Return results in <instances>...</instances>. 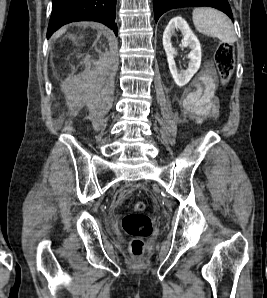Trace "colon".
Listing matches in <instances>:
<instances>
[{"label":"colon","instance_id":"colon-1","mask_svg":"<svg viewBox=\"0 0 267 298\" xmlns=\"http://www.w3.org/2000/svg\"><path fill=\"white\" fill-rule=\"evenodd\" d=\"M217 71L223 84L228 83L234 70V47L229 43L219 44L215 53ZM145 204L135 202L132 211L122 219L123 230L132 237L130 252L135 257H140L144 252V240L152 234L153 226L150 217L144 214Z\"/></svg>","mask_w":267,"mask_h":298}]
</instances>
